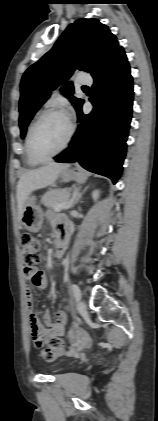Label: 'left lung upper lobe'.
<instances>
[{
	"instance_id": "left-lung-upper-lobe-1",
	"label": "left lung upper lobe",
	"mask_w": 158,
	"mask_h": 421,
	"mask_svg": "<svg viewBox=\"0 0 158 421\" xmlns=\"http://www.w3.org/2000/svg\"><path fill=\"white\" fill-rule=\"evenodd\" d=\"M118 47L115 35L98 19H78L70 24L53 48L30 66L22 77L19 102L21 137L24 138L30 120L51 91L68 80L75 69L94 75L111 59ZM61 91L68 95L78 111L84 101L72 96V83H66Z\"/></svg>"
}]
</instances>
